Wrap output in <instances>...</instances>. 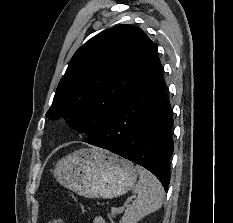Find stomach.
<instances>
[{"label": "stomach", "mask_w": 233, "mask_h": 223, "mask_svg": "<svg viewBox=\"0 0 233 223\" xmlns=\"http://www.w3.org/2000/svg\"><path fill=\"white\" fill-rule=\"evenodd\" d=\"M57 181L84 197H119L134 187L138 167L105 149H77L59 159Z\"/></svg>", "instance_id": "0dacf381"}]
</instances>
